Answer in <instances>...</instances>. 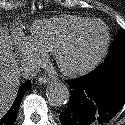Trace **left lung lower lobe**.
<instances>
[{
    "label": "left lung lower lobe",
    "mask_w": 125,
    "mask_h": 125,
    "mask_svg": "<svg viewBox=\"0 0 125 125\" xmlns=\"http://www.w3.org/2000/svg\"><path fill=\"white\" fill-rule=\"evenodd\" d=\"M71 97L62 125L108 123L125 104V57L106 59L94 71L67 81Z\"/></svg>",
    "instance_id": "obj_1"
}]
</instances>
